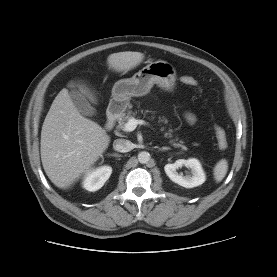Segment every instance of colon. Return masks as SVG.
Listing matches in <instances>:
<instances>
[{"mask_svg":"<svg viewBox=\"0 0 277 277\" xmlns=\"http://www.w3.org/2000/svg\"><path fill=\"white\" fill-rule=\"evenodd\" d=\"M181 81L190 86H197V81L191 76H182ZM215 138L220 150L224 151L228 148V136L223 127L218 124H214Z\"/></svg>","mask_w":277,"mask_h":277,"instance_id":"obj_1","label":"colon"}]
</instances>
